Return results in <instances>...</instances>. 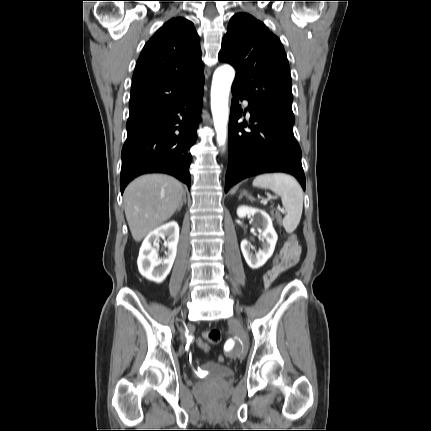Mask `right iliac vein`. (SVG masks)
Masks as SVG:
<instances>
[{
  "instance_id": "63e3f726",
  "label": "right iliac vein",
  "mask_w": 431,
  "mask_h": 431,
  "mask_svg": "<svg viewBox=\"0 0 431 431\" xmlns=\"http://www.w3.org/2000/svg\"><path fill=\"white\" fill-rule=\"evenodd\" d=\"M181 339H182V341L184 340V337L183 336H181Z\"/></svg>"
}]
</instances>
